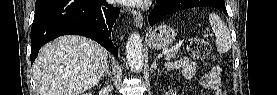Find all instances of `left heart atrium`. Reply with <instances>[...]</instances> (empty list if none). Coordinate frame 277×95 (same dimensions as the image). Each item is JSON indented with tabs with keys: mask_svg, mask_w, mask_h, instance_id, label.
I'll list each match as a JSON object with an SVG mask.
<instances>
[{
	"mask_svg": "<svg viewBox=\"0 0 277 95\" xmlns=\"http://www.w3.org/2000/svg\"><path fill=\"white\" fill-rule=\"evenodd\" d=\"M125 3H130L133 6H141L147 2H149V0H126L124 1Z\"/></svg>",
	"mask_w": 277,
	"mask_h": 95,
	"instance_id": "39dd6f15",
	"label": "left heart atrium"
}]
</instances>
